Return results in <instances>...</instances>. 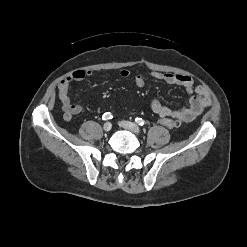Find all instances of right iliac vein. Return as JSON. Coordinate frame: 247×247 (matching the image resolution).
Here are the masks:
<instances>
[{
  "mask_svg": "<svg viewBox=\"0 0 247 247\" xmlns=\"http://www.w3.org/2000/svg\"><path fill=\"white\" fill-rule=\"evenodd\" d=\"M112 128V124L110 122H106L104 125H103V130L105 132H109Z\"/></svg>",
  "mask_w": 247,
  "mask_h": 247,
  "instance_id": "63e3f726",
  "label": "right iliac vein"
}]
</instances>
